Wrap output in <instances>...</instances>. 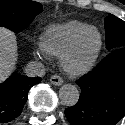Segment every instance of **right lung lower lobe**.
<instances>
[{
    "label": "right lung lower lobe",
    "mask_w": 125,
    "mask_h": 125,
    "mask_svg": "<svg viewBox=\"0 0 125 125\" xmlns=\"http://www.w3.org/2000/svg\"><path fill=\"white\" fill-rule=\"evenodd\" d=\"M40 81V77L30 78L13 73L0 84V123L10 122L21 114L30 88Z\"/></svg>",
    "instance_id": "1"
}]
</instances>
